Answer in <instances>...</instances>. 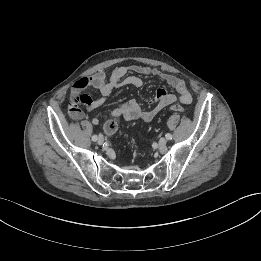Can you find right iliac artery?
Listing matches in <instances>:
<instances>
[{
	"label": "right iliac artery",
	"mask_w": 261,
	"mask_h": 261,
	"mask_svg": "<svg viewBox=\"0 0 261 261\" xmlns=\"http://www.w3.org/2000/svg\"><path fill=\"white\" fill-rule=\"evenodd\" d=\"M97 138H98V136H97V135H93V136H92V141H96V140H97Z\"/></svg>",
	"instance_id": "right-iliac-artery-1"
}]
</instances>
